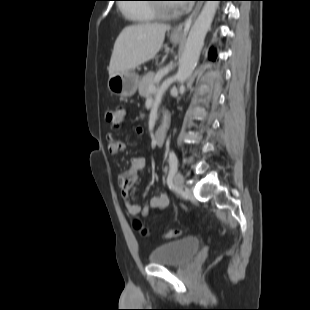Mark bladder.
<instances>
[{
  "instance_id": "31cf9c89",
  "label": "bladder",
  "mask_w": 310,
  "mask_h": 310,
  "mask_svg": "<svg viewBox=\"0 0 310 310\" xmlns=\"http://www.w3.org/2000/svg\"><path fill=\"white\" fill-rule=\"evenodd\" d=\"M200 248L197 238L186 237L159 245L149 254L154 264L179 266L190 261Z\"/></svg>"
}]
</instances>
